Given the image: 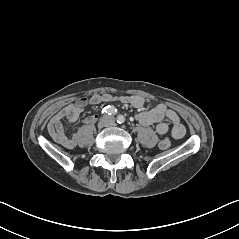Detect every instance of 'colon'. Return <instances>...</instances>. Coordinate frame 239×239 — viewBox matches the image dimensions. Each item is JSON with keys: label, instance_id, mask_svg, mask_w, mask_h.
<instances>
[{"label": "colon", "instance_id": "5ec220e1", "mask_svg": "<svg viewBox=\"0 0 239 239\" xmlns=\"http://www.w3.org/2000/svg\"><path fill=\"white\" fill-rule=\"evenodd\" d=\"M171 143L168 139H165V140H162L160 143H159V147L163 150L165 149H168L170 147Z\"/></svg>", "mask_w": 239, "mask_h": 239}]
</instances>
